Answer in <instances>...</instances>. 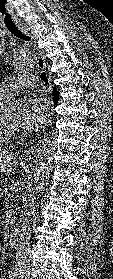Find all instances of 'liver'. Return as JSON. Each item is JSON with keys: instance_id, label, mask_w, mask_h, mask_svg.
<instances>
[{"instance_id": "obj_1", "label": "liver", "mask_w": 113, "mask_h": 279, "mask_svg": "<svg viewBox=\"0 0 113 279\" xmlns=\"http://www.w3.org/2000/svg\"><path fill=\"white\" fill-rule=\"evenodd\" d=\"M17 155L4 150L0 151V172L8 173L16 169Z\"/></svg>"}]
</instances>
